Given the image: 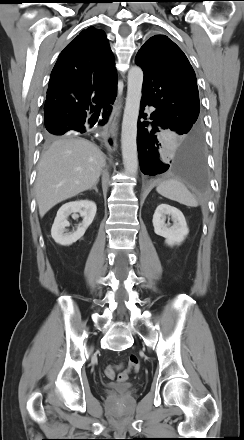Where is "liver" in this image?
Masks as SVG:
<instances>
[{
	"label": "liver",
	"instance_id": "liver-1",
	"mask_svg": "<svg viewBox=\"0 0 244 440\" xmlns=\"http://www.w3.org/2000/svg\"><path fill=\"white\" fill-rule=\"evenodd\" d=\"M105 164L102 151L85 139L65 136L53 141L37 169L35 193L40 217L56 204L91 189Z\"/></svg>",
	"mask_w": 244,
	"mask_h": 440
}]
</instances>
